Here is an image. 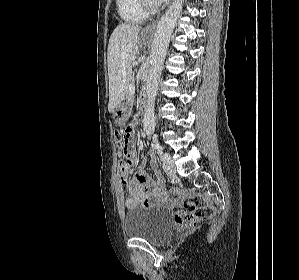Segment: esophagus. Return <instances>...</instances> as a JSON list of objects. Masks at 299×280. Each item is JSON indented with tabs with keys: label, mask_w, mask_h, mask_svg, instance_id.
<instances>
[{
	"label": "esophagus",
	"mask_w": 299,
	"mask_h": 280,
	"mask_svg": "<svg viewBox=\"0 0 299 280\" xmlns=\"http://www.w3.org/2000/svg\"><path fill=\"white\" fill-rule=\"evenodd\" d=\"M157 24H158V20L153 21L151 24L147 25L143 29V32L148 33V34H153L156 29Z\"/></svg>",
	"instance_id": "obj_1"
}]
</instances>
